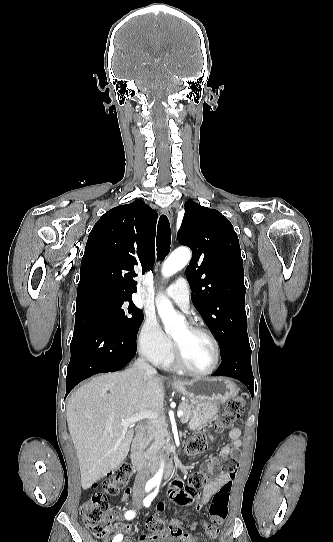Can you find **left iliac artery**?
<instances>
[{"mask_svg":"<svg viewBox=\"0 0 333 542\" xmlns=\"http://www.w3.org/2000/svg\"><path fill=\"white\" fill-rule=\"evenodd\" d=\"M157 488L155 489V491L153 493H151L145 500H144V505L146 507H148L151 503V501L155 498V496L157 495L158 493V489H159V483L156 484Z\"/></svg>","mask_w":333,"mask_h":542,"instance_id":"left-iliac-artery-1","label":"left iliac artery"}]
</instances>
